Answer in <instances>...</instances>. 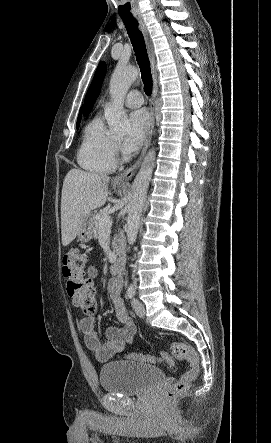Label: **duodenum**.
<instances>
[{
    "label": "duodenum",
    "mask_w": 271,
    "mask_h": 443,
    "mask_svg": "<svg viewBox=\"0 0 271 443\" xmlns=\"http://www.w3.org/2000/svg\"><path fill=\"white\" fill-rule=\"evenodd\" d=\"M124 266V259L123 257H118L115 259L111 265V273L112 275L119 277L122 273Z\"/></svg>",
    "instance_id": "obj_1"
}]
</instances>
